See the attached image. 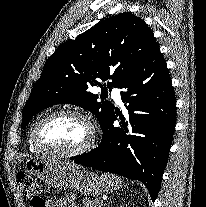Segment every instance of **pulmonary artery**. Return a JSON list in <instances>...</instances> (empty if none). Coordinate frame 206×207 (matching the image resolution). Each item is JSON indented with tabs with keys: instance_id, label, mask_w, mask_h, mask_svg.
<instances>
[{
	"instance_id": "obj_1",
	"label": "pulmonary artery",
	"mask_w": 206,
	"mask_h": 207,
	"mask_svg": "<svg viewBox=\"0 0 206 207\" xmlns=\"http://www.w3.org/2000/svg\"><path fill=\"white\" fill-rule=\"evenodd\" d=\"M112 96L116 102H121V90L119 88L115 87L112 89Z\"/></svg>"
}]
</instances>
